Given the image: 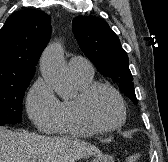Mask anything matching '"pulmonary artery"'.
<instances>
[{
    "label": "pulmonary artery",
    "instance_id": "obj_1",
    "mask_svg": "<svg viewBox=\"0 0 168 162\" xmlns=\"http://www.w3.org/2000/svg\"><path fill=\"white\" fill-rule=\"evenodd\" d=\"M70 72L73 76L88 79L92 78L94 71L91 63L86 58L74 56L68 62Z\"/></svg>",
    "mask_w": 168,
    "mask_h": 162
}]
</instances>
